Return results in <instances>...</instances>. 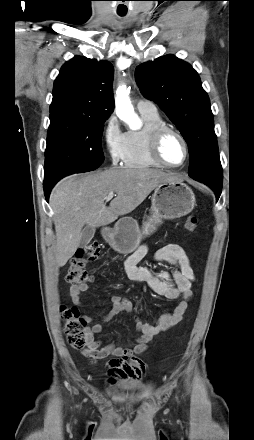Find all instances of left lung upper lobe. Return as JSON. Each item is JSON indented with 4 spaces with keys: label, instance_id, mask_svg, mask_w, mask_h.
<instances>
[{
    "label": "left lung upper lobe",
    "instance_id": "1",
    "mask_svg": "<svg viewBox=\"0 0 254 440\" xmlns=\"http://www.w3.org/2000/svg\"><path fill=\"white\" fill-rule=\"evenodd\" d=\"M143 95L156 102L175 124L189 147V176L210 185L216 195L222 189L214 119L198 73L186 62L165 55L136 68Z\"/></svg>",
    "mask_w": 254,
    "mask_h": 440
}]
</instances>
